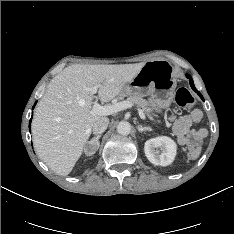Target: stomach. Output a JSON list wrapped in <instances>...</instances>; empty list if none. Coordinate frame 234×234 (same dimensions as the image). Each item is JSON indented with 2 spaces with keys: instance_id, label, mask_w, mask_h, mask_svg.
I'll use <instances>...</instances> for the list:
<instances>
[{
  "instance_id": "stomach-1",
  "label": "stomach",
  "mask_w": 234,
  "mask_h": 234,
  "mask_svg": "<svg viewBox=\"0 0 234 234\" xmlns=\"http://www.w3.org/2000/svg\"><path fill=\"white\" fill-rule=\"evenodd\" d=\"M177 80L171 66L162 61L144 63L138 74L122 88L121 96H151L160 108L173 100Z\"/></svg>"
}]
</instances>
